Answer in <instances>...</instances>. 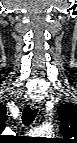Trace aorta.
<instances>
[{"mask_svg":"<svg viewBox=\"0 0 77 143\" xmlns=\"http://www.w3.org/2000/svg\"><path fill=\"white\" fill-rule=\"evenodd\" d=\"M51 133H52V127L50 125H44V126L37 128L35 130V134H37V135L48 136V135H51Z\"/></svg>","mask_w":77,"mask_h":143,"instance_id":"1","label":"aorta"}]
</instances>
